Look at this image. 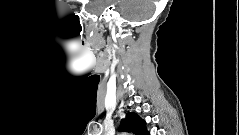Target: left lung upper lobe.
<instances>
[{"label": "left lung upper lobe", "mask_w": 239, "mask_h": 135, "mask_svg": "<svg viewBox=\"0 0 239 135\" xmlns=\"http://www.w3.org/2000/svg\"><path fill=\"white\" fill-rule=\"evenodd\" d=\"M119 130L132 132L135 135H149L146 129V122L132 112H128L126 118L121 120Z\"/></svg>", "instance_id": "obj_1"}]
</instances>
